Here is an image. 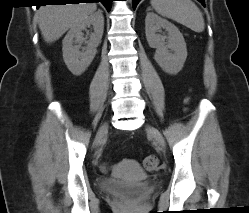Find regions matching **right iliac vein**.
<instances>
[{"mask_svg":"<svg viewBox=\"0 0 249 213\" xmlns=\"http://www.w3.org/2000/svg\"><path fill=\"white\" fill-rule=\"evenodd\" d=\"M107 131H108V123H104L99 129L98 135L95 140V146L99 145L103 137L107 134Z\"/></svg>","mask_w":249,"mask_h":213,"instance_id":"63e3f726","label":"right iliac vein"}]
</instances>
